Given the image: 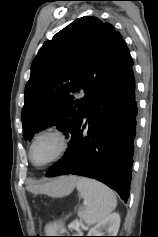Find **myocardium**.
I'll list each match as a JSON object with an SVG mask.
<instances>
[{"mask_svg": "<svg viewBox=\"0 0 158 237\" xmlns=\"http://www.w3.org/2000/svg\"><path fill=\"white\" fill-rule=\"evenodd\" d=\"M46 135H51V136L56 137L60 142V148L53 158H51L49 161H47L44 164L38 165L33 160V156H32L33 148H34V145L37 142V140L43 136H46ZM68 149H69V138L66 135V133L60 128L48 127V128H45V129L39 131L33 137L30 147H29V160L34 167L46 168V167L52 165L53 163L57 162L58 160H60L66 154Z\"/></svg>", "mask_w": 158, "mask_h": 237, "instance_id": "f54148a6", "label": "myocardium"}]
</instances>
